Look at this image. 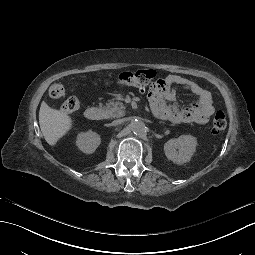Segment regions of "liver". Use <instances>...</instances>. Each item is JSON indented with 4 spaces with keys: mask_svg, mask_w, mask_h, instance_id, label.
<instances>
[{
    "mask_svg": "<svg viewBox=\"0 0 255 255\" xmlns=\"http://www.w3.org/2000/svg\"><path fill=\"white\" fill-rule=\"evenodd\" d=\"M41 132L49 145H55L71 128V118L64 112L50 108L44 101L39 110Z\"/></svg>",
    "mask_w": 255,
    "mask_h": 255,
    "instance_id": "liver-1",
    "label": "liver"
}]
</instances>
